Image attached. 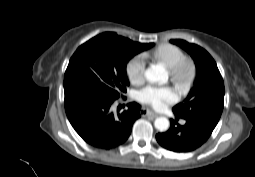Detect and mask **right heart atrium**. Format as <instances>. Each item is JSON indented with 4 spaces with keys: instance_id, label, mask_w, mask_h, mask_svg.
<instances>
[{
    "instance_id": "d8ad5b80",
    "label": "right heart atrium",
    "mask_w": 255,
    "mask_h": 177,
    "mask_svg": "<svg viewBox=\"0 0 255 177\" xmlns=\"http://www.w3.org/2000/svg\"><path fill=\"white\" fill-rule=\"evenodd\" d=\"M146 71V59L144 55L133 56L126 65V72L131 82L138 84L143 81Z\"/></svg>"
}]
</instances>
